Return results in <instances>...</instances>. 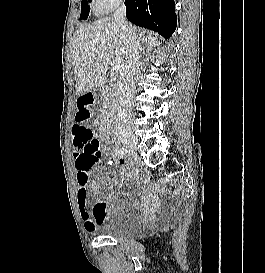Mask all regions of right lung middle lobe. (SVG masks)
<instances>
[{
    "mask_svg": "<svg viewBox=\"0 0 265 273\" xmlns=\"http://www.w3.org/2000/svg\"><path fill=\"white\" fill-rule=\"evenodd\" d=\"M91 2V0H82L81 2V15L80 19L86 20L89 16L90 8L88 6V3Z\"/></svg>",
    "mask_w": 265,
    "mask_h": 273,
    "instance_id": "dd1d6c3e",
    "label": "right lung middle lobe"
}]
</instances>
